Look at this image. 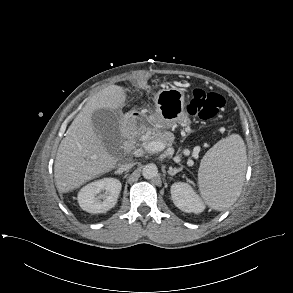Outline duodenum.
Returning <instances> with one entry per match:
<instances>
[{
	"instance_id": "1",
	"label": "duodenum",
	"mask_w": 293,
	"mask_h": 293,
	"mask_svg": "<svg viewBox=\"0 0 293 293\" xmlns=\"http://www.w3.org/2000/svg\"><path fill=\"white\" fill-rule=\"evenodd\" d=\"M137 117H139L138 113H134V112H132V113H130V114L124 119V125H125L126 130L129 129V125H130L131 120H132V119H135V118H137ZM132 145H133V141H132V139H131V138H128L127 141H126V143H125L126 148H127V149H130V148L132 147Z\"/></svg>"
}]
</instances>
